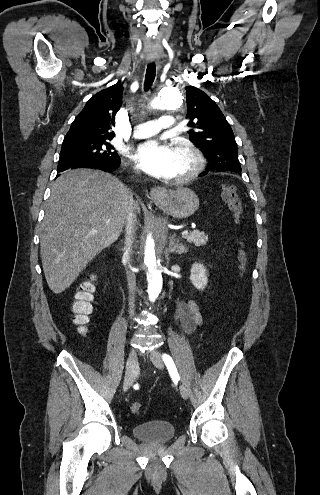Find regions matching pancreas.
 <instances>
[{
  "label": "pancreas",
  "instance_id": "cf45deb5",
  "mask_svg": "<svg viewBox=\"0 0 320 495\" xmlns=\"http://www.w3.org/2000/svg\"><path fill=\"white\" fill-rule=\"evenodd\" d=\"M184 238L187 239L188 243H193L195 246H203L208 241V236L204 232L191 231L190 234L185 235Z\"/></svg>",
  "mask_w": 320,
  "mask_h": 495
}]
</instances>
